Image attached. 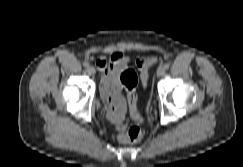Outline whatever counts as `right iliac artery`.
Wrapping results in <instances>:
<instances>
[{
    "instance_id": "obj_1",
    "label": "right iliac artery",
    "mask_w": 243,
    "mask_h": 167,
    "mask_svg": "<svg viewBox=\"0 0 243 167\" xmlns=\"http://www.w3.org/2000/svg\"><path fill=\"white\" fill-rule=\"evenodd\" d=\"M83 66H84V67H88V66H89V63H88L87 61H84V62H83Z\"/></svg>"
}]
</instances>
